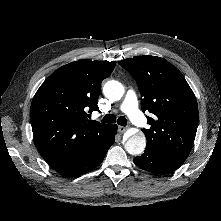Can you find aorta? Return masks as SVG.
<instances>
[{
  "instance_id": "1",
  "label": "aorta",
  "mask_w": 221,
  "mask_h": 221,
  "mask_svg": "<svg viewBox=\"0 0 221 221\" xmlns=\"http://www.w3.org/2000/svg\"><path fill=\"white\" fill-rule=\"evenodd\" d=\"M103 93L111 101L120 100L124 94V86L116 80H110L103 86ZM126 151L131 155H140L146 147V138L143 133L132 135L125 143Z\"/></svg>"
}]
</instances>
